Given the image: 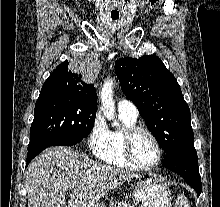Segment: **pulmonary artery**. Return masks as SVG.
Returning a JSON list of instances; mask_svg holds the SVG:
<instances>
[{"label": "pulmonary artery", "instance_id": "pulmonary-artery-1", "mask_svg": "<svg viewBox=\"0 0 220 207\" xmlns=\"http://www.w3.org/2000/svg\"><path fill=\"white\" fill-rule=\"evenodd\" d=\"M118 112L121 114H126L133 118H137L138 116V109L135 104L129 100L121 99L117 105Z\"/></svg>", "mask_w": 220, "mask_h": 207}]
</instances>
